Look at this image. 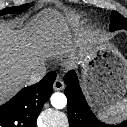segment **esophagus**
<instances>
[{"label": "esophagus", "mask_w": 127, "mask_h": 127, "mask_svg": "<svg viewBox=\"0 0 127 127\" xmlns=\"http://www.w3.org/2000/svg\"><path fill=\"white\" fill-rule=\"evenodd\" d=\"M53 87L56 91L63 90L64 89V82L60 78H57L53 84Z\"/></svg>", "instance_id": "1"}]
</instances>
